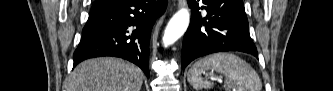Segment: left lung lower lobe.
Instances as JSON below:
<instances>
[{"label":"left lung lower lobe","mask_w":333,"mask_h":91,"mask_svg":"<svg viewBox=\"0 0 333 91\" xmlns=\"http://www.w3.org/2000/svg\"><path fill=\"white\" fill-rule=\"evenodd\" d=\"M188 4L192 16L183 39L182 69L194 59L215 52L241 51L258 58L242 0H188ZM200 8L207 11L205 17Z\"/></svg>","instance_id":"obj_1"}]
</instances>
